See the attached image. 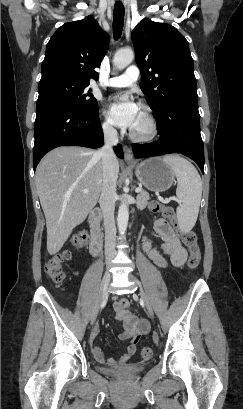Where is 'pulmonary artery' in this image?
Masks as SVG:
<instances>
[{
    "mask_svg": "<svg viewBox=\"0 0 243 409\" xmlns=\"http://www.w3.org/2000/svg\"><path fill=\"white\" fill-rule=\"evenodd\" d=\"M138 77V68L135 66H130L126 69L124 74L109 78L104 85L113 88L128 87L132 83L136 82Z\"/></svg>",
    "mask_w": 243,
    "mask_h": 409,
    "instance_id": "e3ab8cb5",
    "label": "pulmonary artery"
}]
</instances>
